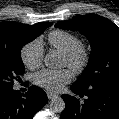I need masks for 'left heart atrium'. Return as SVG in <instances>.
Returning <instances> with one entry per match:
<instances>
[{
    "mask_svg": "<svg viewBox=\"0 0 119 119\" xmlns=\"http://www.w3.org/2000/svg\"><path fill=\"white\" fill-rule=\"evenodd\" d=\"M72 79V72L69 69L49 70L42 69L36 72L32 80L33 82L48 91H59L65 84Z\"/></svg>",
    "mask_w": 119,
    "mask_h": 119,
    "instance_id": "1",
    "label": "left heart atrium"
}]
</instances>
